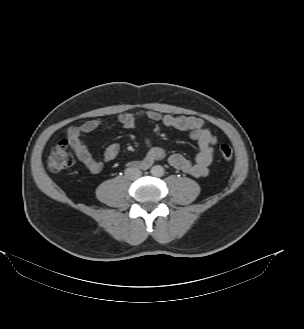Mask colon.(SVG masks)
Returning <instances> with one entry per match:
<instances>
[{
    "instance_id": "obj_1",
    "label": "colon",
    "mask_w": 304,
    "mask_h": 329,
    "mask_svg": "<svg viewBox=\"0 0 304 329\" xmlns=\"http://www.w3.org/2000/svg\"><path fill=\"white\" fill-rule=\"evenodd\" d=\"M220 155L224 160H230L233 157V150L230 145L222 144L220 146ZM74 163V156L66 139L61 140L50 152L47 160L48 168L55 173L70 168Z\"/></svg>"
}]
</instances>
